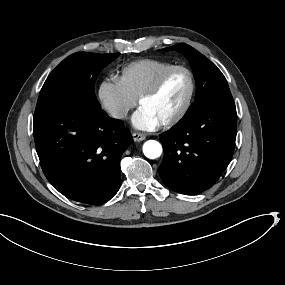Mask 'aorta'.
<instances>
[{"label": "aorta", "instance_id": "aorta-1", "mask_svg": "<svg viewBox=\"0 0 285 285\" xmlns=\"http://www.w3.org/2000/svg\"><path fill=\"white\" fill-rule=\"evenodd\" d=\"M143 153L148 159H156L162 154V146L155 140H149L143 145Z\"/></svg>", "mask_w": 285, "mask_h": 285}]
</instances>
